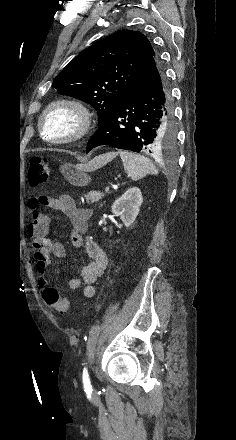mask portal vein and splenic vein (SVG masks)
<instances>
[{"label":"portal vein and splenic vein","mask_w":236,"mask_h":440,"mask_svg":"<svg viewBox=\"0 0 236 440\" xmlns=\"http://www.w3.org/2000/svg\"><path fill=\"white\" fill-rule=\"evenodd\" d=\"M105 192H106V193L109 192V187H106V188H105Z\"/></svg>","instance_id":"portal-vein-and-splenic-vein-1"}]
</instances>
